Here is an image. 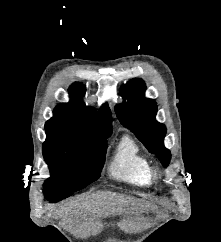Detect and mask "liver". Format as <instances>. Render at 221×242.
<instances>
[{
	"instance_id": "liver-1",
	"label": "liver",
	"mask_w": 221,
	"mask_h": 242,
	"mask_svg": "<svg viewBox=\"0 0 221 242\" xmlns=\"http://www.w3.org/2000/svg\"><path fill=\"white\" fill-rule=\"evenodd\" d=\"M139 201L133 197L111 192H99L82 199L70 201L60 206L56 214L62 218L76 217L83 219V222L76 224L73 228L80 236H87L95 230L96 218L106 216L109 213L134 210ZM74 225V224H72ZM71 225V226H72ZM72 228V227H71Z\"/></svg>"
}]
</instances>
